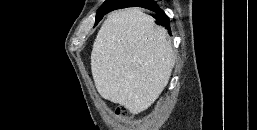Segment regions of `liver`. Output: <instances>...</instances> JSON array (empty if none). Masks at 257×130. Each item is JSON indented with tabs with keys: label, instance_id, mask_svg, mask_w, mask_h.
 Segmentation results:
<instances>
[{
	"label": "liver",
	"instance_id": "1",
	"mask_svg": "<svg viewBox=\"0 0 257 130\" xmlns=\"http://www.w3.org/2000/svg\"><path fill=\"white\" fill-rule=\"evenodd\" d=\"M175 55L165 28L139 8L112 12L93 44L98 93L133 114L148 109L170 79Z\"/></svg>",
	"mask_w": 257,
	"mask_h": 130
}]
</instances>
